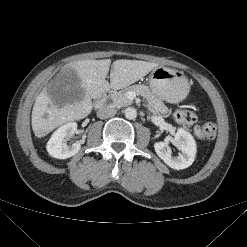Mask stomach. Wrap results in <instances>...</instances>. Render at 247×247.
Wrapping results in <instances>:
<instances>
[{
	"instance_id": "stomach-1",
	"label": "stomach",
	"mask_w": 247,
	"mask_h": 247,
	"mask_svg": "<svg viewBox=\"0 0 247 247\" xmlns=\"http://www.w3.org/2000/svg\"><path fill=\"white\" fill-rule=\"evenodd\" d=\"M149 86L155 95L168 103L182 101L189 92V83L184 73L164 66L151 71Z\"/></svg>"
}]
</instances>
